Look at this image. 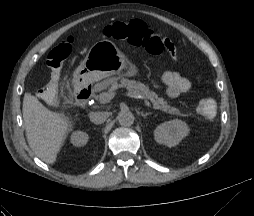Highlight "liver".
I'll return each instance as SVG.
<instances>
[{
	"label": "liver",
	"mask_w": 254,
	"mask_h": 216,
	"mask_svg": "<svg viewBox=\"0 0 254 216\" xmlns=\"http://www.w3.org/2000/svg\"><path fill=\"white\" fill-rule=\"evenodd\" d=\"M22 111L30 148L42 161L54 164L68 132L72 130L71 121L64 114L46 108L30 93L24 95Z\"/></svg>",
	"instance_id": "1"
}]
</instances>
